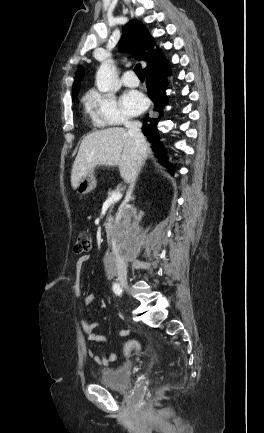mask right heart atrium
Returning a JSON list of instances; mask_svg holds the SVG:
<instances>
[{
  "label": "right heart atrium",
  "mask_w": 264,
  "mask_h": 433,
  "mask_svg": "<svg viewBox=\"0 0 264 433\" xmlns=\"http://www.w3.org/2000/svg\"><path fill=\"white\" fill-rule=\"evenodd\" d=\"M87 108L94 121L100 125H120L130 122L115 96L93 90L86 99Z\"/></svg>",
  "instance_id": "right-heart-atrium-1"
}]
</instances>
